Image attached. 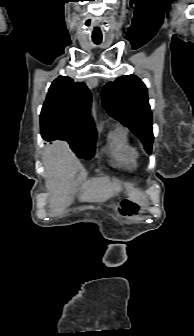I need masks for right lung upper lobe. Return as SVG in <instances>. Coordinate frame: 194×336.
<instances>
[{
    "mask_svg": "<svg viewBox=\"0 0 194 336\" xmlns=\"http://www.w3.org/2000/svg\"><path fill=\"white\" fill-rule=\"evenodd\" d=\"M91 95L83 82L59 76L50 86L41 111V134L47 141L68 136L95 137L96 129L86 114Z\"/></svg>",
    "mask_w": 194,
    "mask_h": 336,
    "instance_id": "right-lung-upper-lobe-1",
    "label": "right lung upper lobe"
}]
</instances>
